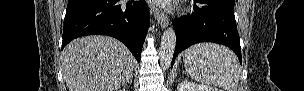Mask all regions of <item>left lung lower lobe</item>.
I'll return each instance as SVG.
<instances>
[{
	"mask_svg": "<svg viewBox=\"0 0 304 91\" xmlns=\"http://www.w3.org/2000/svg\"><path fill=\"white\" fill-rule=\"evenodd\" d=\"M234 3L235 0H194L192 13L173 21L177 43L171 68L179 52L199 42L228 46L242 64Z\"/></svg>",
	"mask_w": 304,
	"mask_h": 91,
	"instance_id": "left-lung-lower-lobe-1",
	"label": "left lung lower lobe"
}]
</instances>
